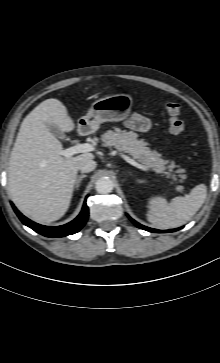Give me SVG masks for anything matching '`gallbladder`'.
Listing matches in <instances>:
<instances>
[{
    "instance_id": "gallbladder-1",
    "label": "gallbladder",
    "mask_w": 220,
    "mask_h": 363,
    "mask_svg": "<svg viewBox=\"0 0 220 363\" xmlns=\"http://www.w3.org/2000/svg\"><path fill=\"white\" fill-rule=\"evenodd\" d=\"M47 126L51 133H53L55 136H58L61 139H65L64 133L58 127L53 124H48Z\"/></svg>"
}]
</instances>
